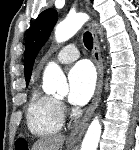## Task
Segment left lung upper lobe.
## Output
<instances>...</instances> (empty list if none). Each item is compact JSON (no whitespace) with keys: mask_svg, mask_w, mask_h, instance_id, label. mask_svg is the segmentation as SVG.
I'll return each mask as SVG.
<instances>
[{"mask_svg":"<svg viewBox=\"0 0 139 150\" xmlns=\"http://www.w3.org/2000/svg\"><path fill=\"white\" fill-rule=\"evenodd\" d=\"M57 19L58 14L56 10L47 9L39 14L27 32L24 57L26 85H28L32 74L34 60L43 44L47 41Z\"/></svg>","mask_w":139,"mask_h":150,"instance_id":"left-lung-upper-lobe-1","label":"left lung upper lobe"}]
</instances>
